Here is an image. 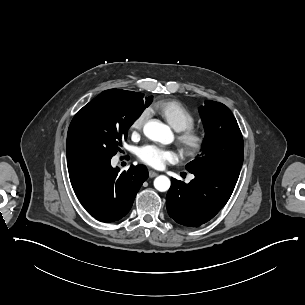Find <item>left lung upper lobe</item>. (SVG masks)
Listing matches in <instances>:
<instances>
[{
    "mask_svg": "<svg viewBox=\"0 0 305 305\" xmlns=\"http://www.w3.org/2000/svg\"><path fill=\"white\" fill-rule=\"evenodd\" d=\"M199 112L205 128L203 152L186 169L189 172L239 174L244 159V143L230 109L222 103L207 100Z\"/></svg>",
    "mask_w": 305,
    "mask_h": 305,
    "instance_id": "5c2ea615",
    "label": "left lung upper lobe"
}]
</instances>
